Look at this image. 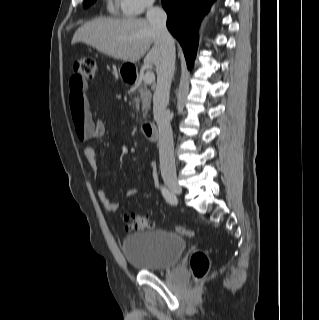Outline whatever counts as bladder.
I'll return each mask as SVG.
<instances>
[{
  "label": "bladder",
  "mask_w": 319,
  "mask_h": 320,
  "mask_svg": "<svg viewBox=\"0 0 319 320\" xmlns=\"http://www.w3.org/2000/svg\"><path fill=\"white\" fill-rule=\"evenodd\" d=\"M186 247V240L180 234L157 229L126 236L122 250L133 267L159 272L176 266Z\"/></svg>",
  "instance_id": "bladder-1"
}]
</instances>
